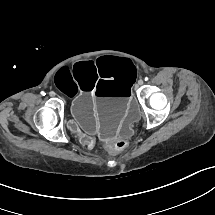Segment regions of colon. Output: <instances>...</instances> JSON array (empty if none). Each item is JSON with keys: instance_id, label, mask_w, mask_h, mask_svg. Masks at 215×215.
I'll list each match as a JSON object with an SVG mask.
<instances>
[{"instance_id": "5ec220e1", "label": "colon", "mask_w": 215, "mask_h": 215, "mask_svg": "<svg viewBox=\"0 0 215 215\" xmlns=\"http://www.w3.org/2000/svg\"><path fill=\"white\" fill-rule=\"evenodd\" d=\"M126 145H127L126 141L118 140V141L107 144L105 147H106L107 151L118 152V151H121L122 149H124Z\"/></svg>"}]
</instances>
